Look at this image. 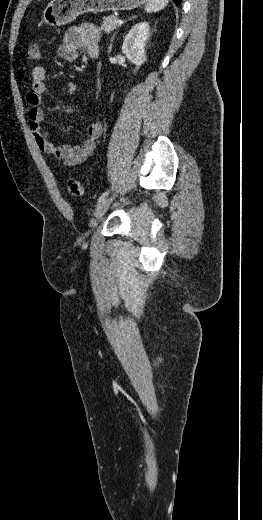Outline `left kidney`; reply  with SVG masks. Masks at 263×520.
<instances>
[{"mask_svg": "<svg viewBox=\"0 0 263 520\" xmlns=\"http://www.w3.org/2000/svg\"><path fill=\"white\" fill-rule=\"evenodd\" d=\"M149 31V24L141 22L133 26L124 39L122 51L128 60L136 66V69L146 60L145 45L149 38Z\"/></svg>", "mask_w": 263, "mask_h": 520, "instance_id": "left-kidney-1", "label": "left kidney"}]
</instances>
